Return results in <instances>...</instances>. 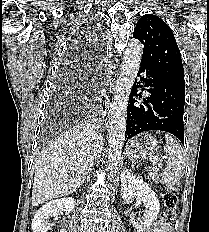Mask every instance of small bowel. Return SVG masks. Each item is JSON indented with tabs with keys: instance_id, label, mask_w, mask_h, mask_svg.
<instances>
[{
	"instance_id": "obj_1",
	"label": "small bowel",
	"mask_w": 209,
	"mask_h": 232,
	"mask_svg": "<svg viewBox=\"0 0 209 232\" xmlns=\"http://www.w3.org/2000/svg\"><path fill=\"white\" fill-rule=\"evenodd\" d=\"M151 232H169L167 224L157 222Z\"/></svg>"
}]
</instances>
